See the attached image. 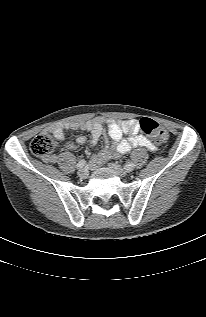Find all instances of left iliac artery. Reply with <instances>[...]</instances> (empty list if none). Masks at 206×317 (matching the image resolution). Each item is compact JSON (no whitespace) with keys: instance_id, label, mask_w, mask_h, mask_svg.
Returning <instances> with one entry per match:
<instances>
[{"instance_id":"left-iliac-artery-1","label":"left iliac artery","mask_w":206,"mask_h":317,"mask_svg":"<svg viewBox=\"0 0 206 317\" xmlns=\"http://www.w3.org/2000/svg\"><path fill=\"white\" fill-rule=\"evenodd\" d=\"M134 166H135L134 163L129 162V163H127V164L125 165V169L128 170V171H131V170L134 169Z\"/></svg>"}]
</instances>
